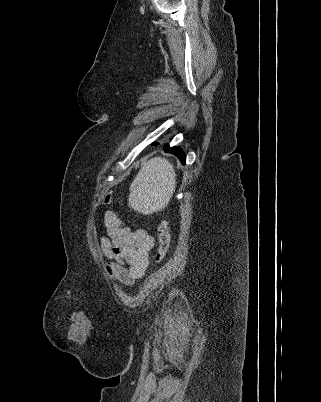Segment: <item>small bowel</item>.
Listing matches in <instances>:
<instances>
[{
    "mask_svg": "<svg viewBox=\"0 0 321 402\" xmlns=\"http://www.w3.org/2000/svg\"><path fill=\"white\" fill-rule=\"evenodd\" d=\"M106 235L100 239V247L104 256L110 260L106 269L111 278L125 286L133 285L143 278L150 264V251L155 245L154 238L145 229L132 230L113 211L103 215ZM75 319L70 321V337L77 339L79 347L84 346L89 336L88 320H81L83 312L77 311Z\"/></svg>",
    "mask_w": 321,
    "mask_h": 402,
    "instance_id": "1",
    "label": "small bowel"
}]
</instances>
